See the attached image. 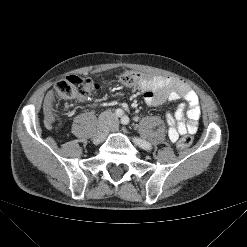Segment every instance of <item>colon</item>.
Returning a JSON list of instances; mask_svg holds the SVG:
<instances>
[{"instance_id":"1","label":"colon","mask_w":247,"mask_h":247,"mask_svg":"<svg viewBox=\"0 0 247 247\" xmlns=\"http://www.w3.org/2000/svg\"><path fill=\"white\" fill-rule=\"evenodd\" d=\"M118 82L124 86H131L152 80L147 74L126 71L118 75ZM99 88V85L88 78L78 76H69L56 84L55 94L57 98L64 100H71L77 97H86L93 90ZM192 137L190 135L183 136L177 143L181 149L187 148L192 144Z\"/></svg>"}]
</instances>
